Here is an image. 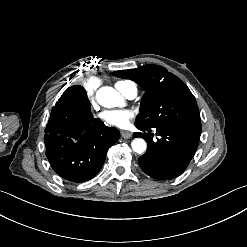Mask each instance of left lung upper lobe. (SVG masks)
Returning a JSON list of instances; mask_svg holds the SVG:
<instances>
[{
  "instance_id": "5c2ea615",
  "label": "left lung upper lobe",
  "mask_w": 247,
  "mask_h": 247,
  "mask_svg": "<svg viewBox=\"0 0 247 247\" xmlns=\"http://www.w3.org/2000/svg\"><path fill=\"white\" fill-rule=\"evenodd\" d=\"M112 75L130 79L145 91L136 127H174L201 134V121L195 97L186 84L166 68L154 64L121 70Z\"/></svg>"
}]
</instances>
